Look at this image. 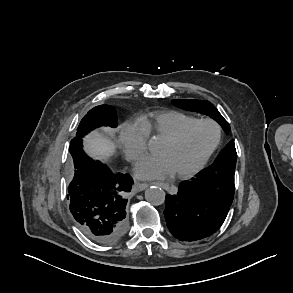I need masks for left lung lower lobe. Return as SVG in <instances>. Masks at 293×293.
I'll list each match as a JSON object with an SVG mask.
<instances>
[{"mask_svg":"<svg viewBox=\"0 0 293 293\" xmlns=\"http://www.w3.org/2000/svg\"><path fill=\"white\" fill-rule=\"evenodd\" d=\"M234 174L203 171L166 195L165 220L175 238L197 241L220 228L234 198Z\"/></svg>","mask_w":293,"mask_h":293,"instance_id":"left-lung-lower-lobe-1","label":"left lung lower lobe"}]
</instances>
